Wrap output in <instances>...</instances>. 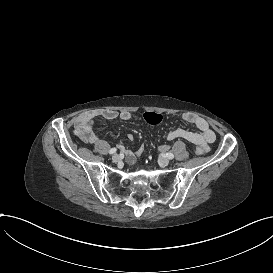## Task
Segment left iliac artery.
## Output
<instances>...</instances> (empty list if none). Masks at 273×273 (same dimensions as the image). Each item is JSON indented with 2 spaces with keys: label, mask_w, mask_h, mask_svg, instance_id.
Instances as JSON below:
<instances>
[{
  "label": "left iliac artery",
  "mask_w": 273,
  "mask_h": 273,
  "mask_svg": "<svg viewBox=\"0 0 273 273\" xmlns=\"http://www.w3.org/2000/svg\"><path fill=\"white\" fill-rule=\"evenodd\" d=\"M167 157H168V159H173L174 158V154L171 153V152H169V153H167Z\"/></svg>",
  "instance_id": "1"
}]
</instances>
